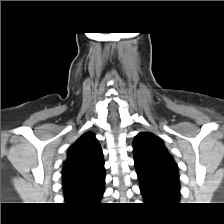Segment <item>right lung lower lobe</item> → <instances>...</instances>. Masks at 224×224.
<instances>
[{
  "label": "right lung lower lobe",
  "instance_id": "right-lung-lower-lobe-1",
  "mask_svg": "<svg viewBox=\"0 0 224 224\" xmlns=\"http://www.w3.org/2000/svg\"><path fill=\"white\" fill-rule=\"evenodd\" d=\"M103 192L104 190L100 194H98L95 198H93L94 202H98L101 199Z\"/></svg>",
  "mask_w": 224,
  "mask_h": 224
}]
</instances>
